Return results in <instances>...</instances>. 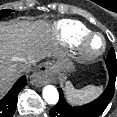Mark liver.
<instances>
[{
	"label": "liver",
	"instance_id": "liver-1",
	"mask_svg": "<svg viewBox=\"0 0 117 117\" xmlns=\"http://www.w3.org/2000/svg\"><path fill=\"white\" fill-rule=\"evenodd\" d=\"M63 57L55 30L49 23L13 21L0 23V98L22 75L20 66L46 57Z\"/></svg>",
	"mask_w": 117,
	"mask_h": 117
}]
</instances>
